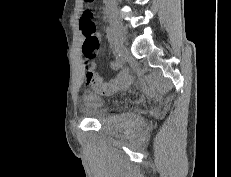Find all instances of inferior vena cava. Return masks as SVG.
<instances>
[{
  "instance_id": "602c4592",
  "label": "inferior vena cava",
  "mask_w": 231,
  "mask_h": 177,
  "mask_svg": "<svg viewBox=\"0 0 231 177\" xmlns=\"http://www.w3.org/2000/svg\"><path fill=\"white\" fill-rule=\"evenodd\" d=\"M116 0H105V2H108V3H114Z\"/></svg>"
}]
</instances>
